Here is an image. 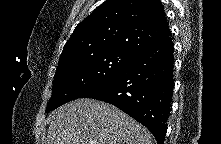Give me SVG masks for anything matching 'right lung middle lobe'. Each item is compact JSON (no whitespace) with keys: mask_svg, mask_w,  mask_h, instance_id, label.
Here are the masks:
<instances>
[{"mask_svg":"<svg viewBox=\"0 0 221 144\" xmlns=\"http://www.w3.org/2000/svg\"><path fill=\"white\" fill-rule=\"evenodd\" d=\"M135 56L128 52L111 50L57 67L46 113L66 102L81 98L93 88L108 81Z\"/></svg>","mask_w":221,"mask_h":144,"instance_id":"right-lung-middle-lobe-1","label":"right lung middle lobe"}]
</instances>
